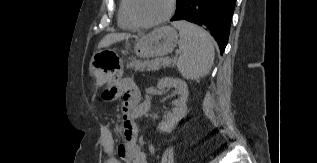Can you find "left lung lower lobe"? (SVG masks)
Returning <instances> with one entry per match:
<instances>
[{
	"instance_id": "left-lung-lower-lobe-1",
	"label": "left lung lower lobe",
	"mask_w": 317,
	"mask_h": 163,
	"mask_svg": "<svg viewBox=\"0 0 317 163\" xmlns=\"http://www.w3.org/2000/svg\"><path fill=\"white\" fill-rule=\"evenodd\" d=\"M236 0H178L171 21L187 20L208 30L219 44L221 53L227 45L231 17Z\"/></svg>"
}]
</instances>
